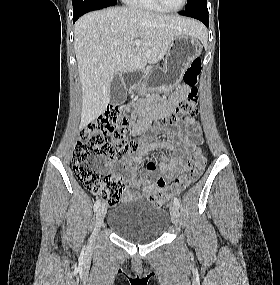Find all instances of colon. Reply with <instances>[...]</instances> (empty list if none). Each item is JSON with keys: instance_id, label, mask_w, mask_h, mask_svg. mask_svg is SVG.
<instances>
[{"instance_id": "obj_1", "label": "colon", "mask_w": 280, "mask_h": 285, "mask_svg": "<svg viewBox=\"0 0 280 285\" xmlns=\"http://www.w3.org/2000/svg\"><path fill=\"white\" fill-rule=\"evenodd\" d=\"M201 62L194 59L184 73L183 81L189 92L176 109L162 119L163 124H175L198 112V80ZM128 123L117 108H109L83 128L75 146L72 163L77 179L94 195L109 205L117 204L122 196L121 178L108 171V163L117 155L134 151L138 143L128 137ZM206 162L204 151L196 147L189 156L180 176L167 188L148 196L155 204H164L171 194L180 192L201 176Z\"/></svg>"}]
</instances>
